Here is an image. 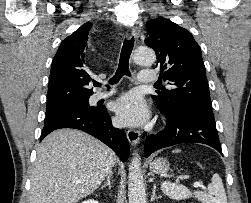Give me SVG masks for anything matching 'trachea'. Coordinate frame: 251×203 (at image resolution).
<instances>
[{
    "label": "trachea",
    "mask_w": 251,
    "mask_h": 203,
    "mask_svg": "<svg viewBox=\"0 0 251 203\" xmlns=\"http://www.w3.org/2000/svg\"><path fill=\"white\" fill-rule=\"evenodd\" d=\"M133 47H134V37H132L129 40L124 41L122 49H121L118 69L115 75L113 76V78L109 80V84H116L122 78V76L130 75L129 58L133 50ZM94 85L96 87L101 86V84L98 82H96ZM156 85H159V84H156ZM107 88H110V87L107 85Z\"/></svg>",
    "instance_id": "1"
}]
</instances>
